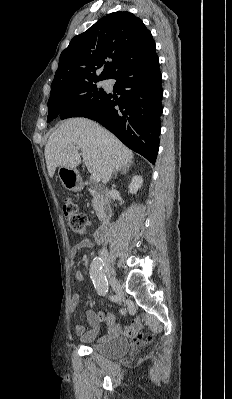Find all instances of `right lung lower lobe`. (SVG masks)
<instances>
[{"mask_svg": "<svg viewBox=\"0 0 232 399\" xmlns=\"http://www.w3.org/2000/svg\"><path fill=\"white\" fill-rule=\"evenodd\" d=\"M110 79L116 80L114 92L120 95L119 98L107 94L96 107L79 111L71 117H86L99 122L127 147L155 164L163 110L162 75L156 51L125 66ZM60 118L66 119L63 113Z\"/></svg>", "mask_w": 232, "mask_h": 399, "instance_id": "98d812e1", "label": "right lung lower lobe"}]
</instances>
